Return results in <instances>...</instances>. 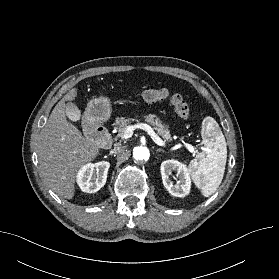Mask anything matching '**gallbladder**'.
<instances>
[{
    "label": "gallbladder",
    "instance_id": "1",
    "mask_svg": "<svg viewBox=\"0 0 279 279\" xmlns=\"http://www.w3.org/2000/svg\"><path fill=\"white\" fill-rule=\"evenodd\" d=\"M67 104H69V106H67V108H66L68 118L73 122L79 121L80 117H81V113H80V110L78 109V107L74 103H71V102L67 103Z\"/></svg>",
    "mask_w": 279,
    "mask_h": 279
}]
</instances>
